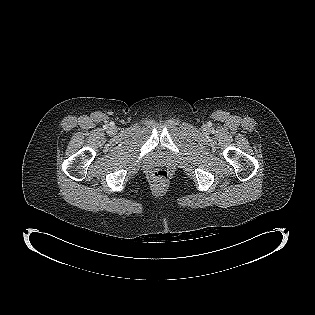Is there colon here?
<instances>
[{"label": "colon", "instance_id": "1", "mask_svg": "<svg viewBox=\"0 0 315 315\" xmlns=\"http://www.w3.org/2000/svg\"><path fill=\"white\" fill-rule=\"evenodd\" d=\"M152 178L157 183H165L169 179V173L165 169H157L152 173Z\"/></svg>", "mask_w": 315, "mask_h": 315}]
</instances>
